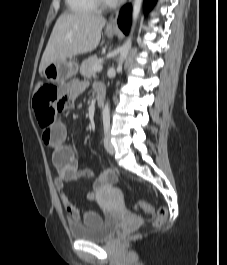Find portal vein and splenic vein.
<instances>
[{"label":"portal vein and splenic vein","instance_id":"portal-vein-and-splenic-vein-1","mask_svg":"<svg viewBox=\"0 0 227 265\" xmlns=\"http://www.w3.org/2000/svg\"><path fill=\"white\" fill-rule=\"evenodd\" d=\"M92 69H93L94 72H98V71L102 70V66L101 65H95V66H93Z\"/></svg>","mask_w":227,"mask_h":265}]
</instances>
